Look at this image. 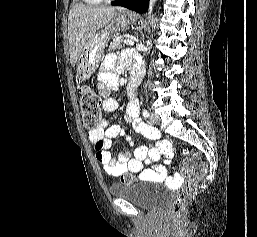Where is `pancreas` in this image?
<instances>
[{"mask_svg":"<svg viewBox=\"0 0 257 237\" xmlns=\"http://www.w3.org/2000/svg\"><path fill=\"white\" fill-rule=\"evenodd\" d=\"M125 40H116V39H114L111 43H110V45H109V50L111 51V50H120V49H122L123 47H124V45H123V42H124Z\"/></svg>","mask_w":257,"mask_h":237,"instance_id":"cf45deb5","label":"pancreas"}]
</instances>
